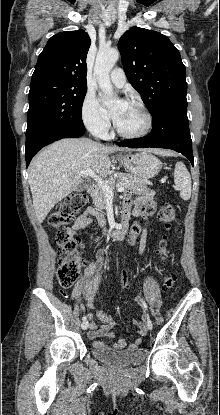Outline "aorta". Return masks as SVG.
I'll return each instance as SVG.
<instances>
[{
	"instance_id": "1",
	"label": "aorta",
	"mask_w": 220,
	"mask_h": 415,
	"mask_svg": "<svg viewBox=\"0 0 220 415\" xmlns=\"http://www.w3.org/2000/svg\"><path fill=\"white\" fill-rule=\"evenodd\" d=\"M118 59L119 51L116 49H99L96 57L94 75L96 76L99 88L102 91V102L106 106H112L119 102L118 96L113 91L109 76L110 71Z\"/></svg>"
}]
</instances>
